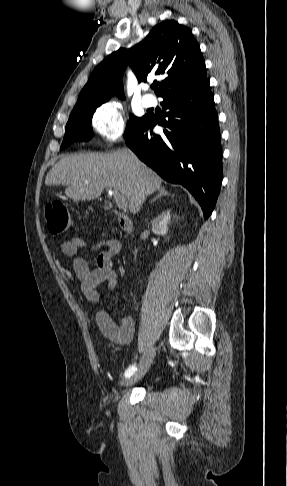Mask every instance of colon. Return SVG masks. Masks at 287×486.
I'll return each instance as SVG.
<instances>
[{"instance_id": "5ec220e1", "label": "colon", "mask_w": 287, "mask_h": 486, "mask_svg": "<svg viewBox=\"0 0 287 486\" xmlns=\"http://www.w3.org/2000/svg\"><path fill=\"white\" fill-rule=\"evenodd\" d=\"M45 221L47 228L53 234L63 233L71 225V218L66 206L57 200L46 204Z\"/></svg>"}]
</instances>
